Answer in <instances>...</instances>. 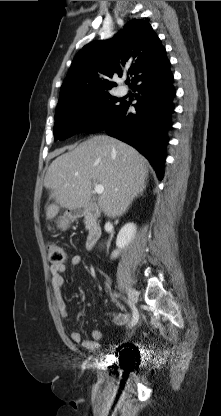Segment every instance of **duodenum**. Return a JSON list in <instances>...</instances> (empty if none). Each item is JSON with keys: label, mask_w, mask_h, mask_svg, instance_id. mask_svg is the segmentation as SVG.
<instances>
[{"label": "duodenum", "mask_w": 221, "mask_h": 416, "mask_svg": "<svg viewBox=\"0 0 221 416\" xmlns=\"http://www.w3.org/2000/svg\"><path fill=\"white\" fill-rule=\"evenodd\" d=\"M75 217H86L88 220L89 230L86 239L87 248L93 249L99 242L102 236V230L97 222L98 207L94 204H89L83 208H76L72 210Z\"/></svg>", "instance_id": "obj_1"}]
</instances>
